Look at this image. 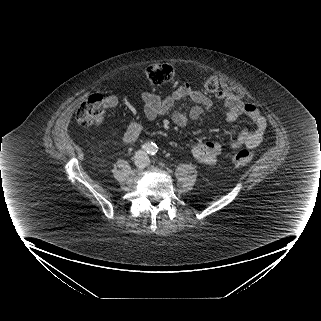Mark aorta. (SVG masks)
I'll return each mask as SVG.
<instances>
[{
	"label": "aorta",
	"mask_w": 321,
	"mask_h": 321,
	"mask_svg": "<svg viewBox=\"0 0 321 321\" xmlns=\"http://www.w3.org/2000/svg\"><path fill=\"white\" fill-rule=\"evenodd\" d=\"M158 150V147L156 144L152 143V144H149L148 148H147V151L150 153V154H154L156 153Z\"/></svg>",
	"instance_id": "obj_1"
}]
</instances>
